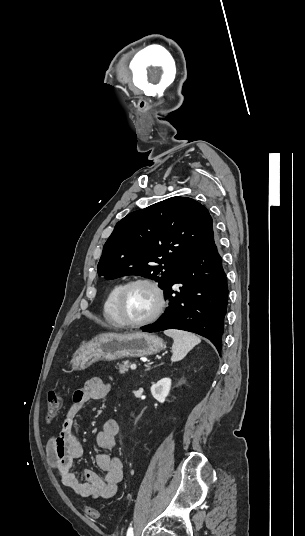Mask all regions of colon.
<instances>
[{"instance_id":"obj_1","label":"colon","mask_w":305,"mask_h":536,"mask_svg":"<svg viewBox=\"0 0 305 536\" xmlns=\"http://www.w3.org/2000/svg\"><path fill=\"white\" fill-rule=\"evenodd\" d=\"M61 396L53 391L50 390L47 393V407H46V416L48 421H53L57 418L59 411L61 409ZM85 515L87 517H93L95 519H98L101 517V513L96 509H90L85 512Z\"/></svg>"}]
</instances>
